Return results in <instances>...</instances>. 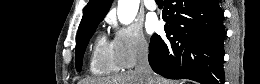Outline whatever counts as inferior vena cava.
Segmentation results:
<instances>
[{
  "label": "inferior vena cava",
  "instance_id": "obj_1",
  "mask_svg": "<svg viewBox=\"0 0 260 84\" xmlns=\"http://www.w3.org/2000/svg\"><path fill=\"white\" fill-rule=\"evenodd\" d=\"M135 72L144 77L145 84H155L153 71L148 61V48H143L137 58Z\"/></svg>",
  "mask_w": 260,
  "mask_h": 84
}]
</instances>
